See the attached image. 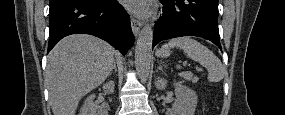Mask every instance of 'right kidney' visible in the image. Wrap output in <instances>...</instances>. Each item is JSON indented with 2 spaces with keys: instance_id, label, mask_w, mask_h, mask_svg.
Wrapping results in <instances>:
<instances>
[{
  "instance_id": "obj_1",
  "label": "right kidney",
  "mask_w": 285,
  "mask_h": 115,
  "mask_svg": "<svg viewBox=\"0 0 285 115\" xmlns=\"http://www.w3.org/2000/svg\"><path fill=\"white\" fill-rule=\"evenodd\" d=\"M103 90L106 93H113L114 91V82L110 81L108 83H106L103 86ZM95 99V95L91 94L90 96H88L84 102V105L82 106L81 110H80V115H107L106 111L96 105L93 101Z\"/></svg>"
}]
</instances>
